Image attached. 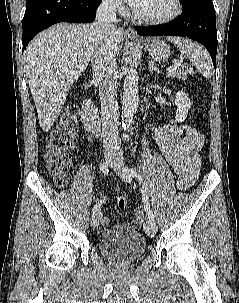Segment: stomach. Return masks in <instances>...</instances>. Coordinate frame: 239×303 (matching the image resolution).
I'll return each mask as SVG.
<instances>
[{
  "label": "stomach",
  "mask_w": 239,
  "mask_h": 303,
  "mask_svg": "<svg viewBox=\"0 0 239 303\" xmlns=\"http://www.w3.org/2000/svg\"><path fill=\"white\" fill-rule=\"evenodd\" d=\"M147 49L158 61H166L169 58L171 51L170 47L159 39H153L148 43Z\"/></svg>",
  "instance_id": "0dacf381"
}]
</instances>
